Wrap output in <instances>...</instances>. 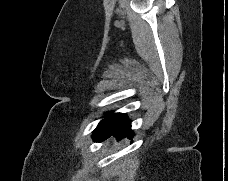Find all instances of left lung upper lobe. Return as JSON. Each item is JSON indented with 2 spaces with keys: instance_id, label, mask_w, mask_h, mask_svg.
<instances>
[{
  "instance_id": "left-lung-upper-lobe-1",
  "label": "left lung upper lobe",
  "mask_w": 228,
  "mask_h": 181,
  "mask_svg": "<svg viewBox=\"0 0 228 181\" xmlns=\"http://www.w3.org/2000/svg\"><path fill=\"white\" fill-rule=\"evenodd\" d=\"M124 117H125V114H122V113H114V114L108 113V116L105 117L98 124V126H97L96 129H99V128H109V127L115 126V125L119 124Z\"/></svg>"
}]
</instances>
